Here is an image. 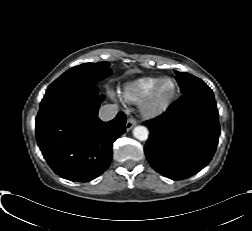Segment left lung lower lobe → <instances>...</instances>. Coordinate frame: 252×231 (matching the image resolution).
<instances>
[{
	"label": "left lung lower lobe",
	"mask_w": 252,
	"mask_h": 231,
	"mask_svg": "<svg viewBox=\"0 0 252 231\" xmlns=\"http://www.w3.org/2000/svg\"><path fill=\"white\" fill-rule=\"evenodd\" d=\"M144 151L155 171L173 180L188 178L212 159L220 134L212 90L187 92L162 115L145 121Z\"/></svg>",
	"instance_id": "left-lung-lower-lobe-1"
}]
</instances>
